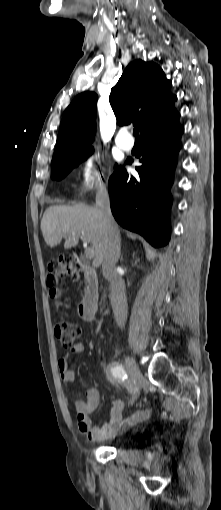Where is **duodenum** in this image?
Segmentation results:
<instances>
[{
	"label": "duodenum",
	"instance_id": "1",
	"mask_svg": "<svg viewBox=\"0 0 221 510\" xmlns=\"http://www.w3.org/2000/svg\"><path fill=\"white\" fill-rule=\"evenodd\" d=\"M85 287L83 298L78 306L82 319L90 322L95 318L99 302V282L97 272L88 266H83Z\"/></svg>",
	"mask_w": 221,
	"mask_h": 510
}]
</instances>
